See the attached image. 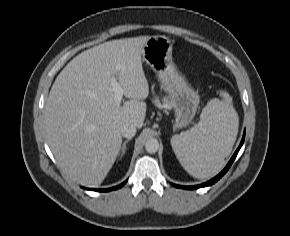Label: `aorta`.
Returning <instances> with one entry per match:
<instances>
[{"label": "aorta", "instance_id": "aorta-1", "mask_svg": "<svg viewBox=\"0 0 290 236\" xmlns=\"http://www.w3.org/2000/svg\"><path fill=\"white\" fill-rule=\"evenodd\" d=\"M145 149L148 153H156L159 149V142L155 138H150L145 143Z\"/></svg>", "mask_w": 290, "mask_h": 236}]
</instances>
